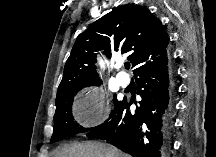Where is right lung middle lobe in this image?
Returning a JSON list of instances; mask_svg holds the SVG:
<instances>
[{
  "mask_svg": "<svg viewBox=\"0 0 216 157\" xmlns=\"http://www.w3.org/2000/svg\"><path fill=\"white\" fill-rule=\"evenodd\" d=\"M77 92L78 91L64 92L60 97L56 98V112L54 115V128L51 143L77 133L91 132L95 130L114 116L115 111L120 104V102L114 98L115 110L111 112L110 117L103 124L97 127L84 128L79 126V124L74 121L72 116L73 98Z\"/></svg>",
  "mask_w": 216,
  "mask_h": 157,
  "instance_id": "obj_1",
  "label": "right lung middle lobe"
}]
</instances>
